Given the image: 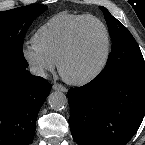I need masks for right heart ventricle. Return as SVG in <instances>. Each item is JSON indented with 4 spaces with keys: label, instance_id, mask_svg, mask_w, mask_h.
I'll return each instance as SVG.
<instances>
[{
    "label": "right heart ventricle",
    "instance_id": "obj_1",
    "mask_svg": "<svg viewBox=\"0 0 145 145\" xmlns=\"http://www.w3.org/2000/svg\"><path fill=\"white\" fill-rule=\"evenodd\" d=\"M88 15L58 13L36 30L32 43L57 63L70 40L73 28Z\"/></svg>",
    "mask_w": 145,
    "mask_h": 145
}]
</instances>
